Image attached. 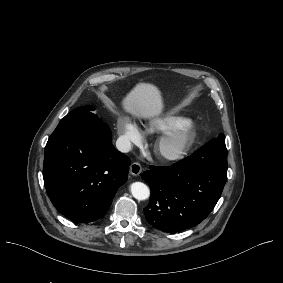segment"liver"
Segmentation results:
<instances>
[{
    "label": "liver",
    "instance_id": "6515ba94",
    "mask_svg": "<svg viewBox=\"0 0 283 283\" xmlns=\"http://www.w3.org/2000/svg\"><path fill=\"white\" fill-rule=\"evenodd\" d=\"M122 105L126 112L143 118L159 116L163 109L161 92L149 83H138L123 99Z\"/></svg>",
    "mask_w": 283,
    "mask_h": 283
}]
</instances>
